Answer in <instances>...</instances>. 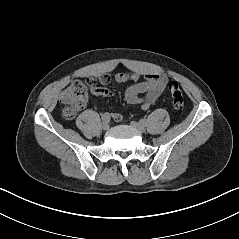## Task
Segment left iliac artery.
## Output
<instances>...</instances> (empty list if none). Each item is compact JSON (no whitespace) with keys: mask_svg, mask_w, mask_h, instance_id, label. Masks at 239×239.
<instances>
[{"mask_svg":"<svg viewBox=\"0 0 239 239\" xmlns=\"http://www.w3.org/2000/svg\"><path fill=\"white\" fill-rule=\"evenodd\" d=\"M140 123L143 124V125H146L147 124V120L146 119H141Z\"/></svg>","mask_w":239,"mask_h":239,"instance_id":"44dca946","label":"left iliac artery"}]
</instances>
